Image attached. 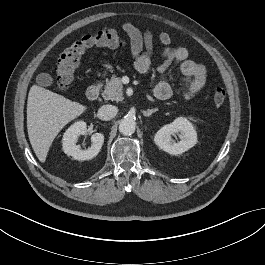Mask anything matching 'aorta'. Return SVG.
<instances>
[{"mask_svg":"<svg viewBox=\"0 0 265 265\" xmlns=\"http://www.w3.org/2000/svg\"><path fill=\"white\" fill-rule=\"evenodd\" d=\"M136 122L132 117H124L119 124V131L123 135H131L135 132Z\"/></svg>","mask_w":265,"mask_h":265,"instance_id":"1","label":"aorta"}]
</instances>
